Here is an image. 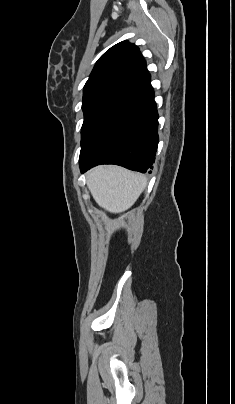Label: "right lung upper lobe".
<instances>
[{
    "label": "right lung upper lobe",
    "mask_w": 235,
    "mask_h": 404,
    "mask_svg": "<svg viewBox=\"0 0 235 404\" xmlns=\"http://www.w3.org/2000/svg\"><path fill=\"white\" fill-rule=\"evenodd\" d=\"M148 74L146 62L139 49L128 41L107 50L97 61L84 89L107 83L130 85Z\"/></svg>",
    "instance_id": "1"
}]
</instances>
